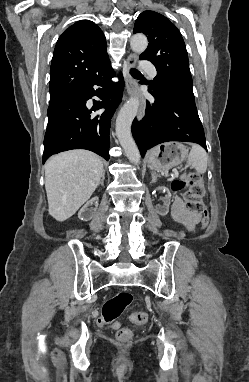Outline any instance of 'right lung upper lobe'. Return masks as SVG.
<instances>
[{
  "label": "right lung upper lobe",
  "instance_id": "right-lung-upper-lobe-1",
  "mask_svg": "<svg viewBox=\"0 0 249 382\" xmlns=\"http://www.w3.org/2000/svg\"><path fill=\"white\" fill-rule=\"evenodd\" d=\"M108 59L106 39L92 21L81 20L59 37L50 70V104L81 86Z\"/></svg>",
  "mask_w": 249,
  "mask_h": 382
}]
</instances>
